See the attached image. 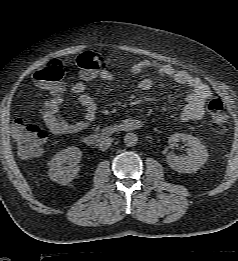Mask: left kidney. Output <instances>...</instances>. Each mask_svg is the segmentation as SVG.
<instances>
[{"instance_id": "left-kidney-1", "label": "left kidney", "mask_w": 238, "mask_h": 261, "mask_svg": "<svg viewBox=\"0 0 238 261\" xmlns=\"http://www.w3.org/2000/svg\"><path fill=\"white\" fill-rule=\"evenodd\" d=\"M179 141L186 142L188 146L187 155L178 156L170 152L167 155L168 165L180 173L196 172L208 160L209 154L206 147L198 138L184 133L172 134L169 137L170 147H175Z\"/></svg>"}]
</instances>
